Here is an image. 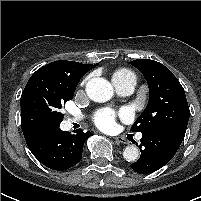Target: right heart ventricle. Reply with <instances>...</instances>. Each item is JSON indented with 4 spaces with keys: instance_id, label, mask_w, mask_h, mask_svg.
Returning <instances> with one entry per match:
<instances>
[{
    "instance_id": "e07e8e85",
    "label": "right heart ventricle",
    "mask_w": 201,
    "mask_h": 201,
    "mask_svg": "<svg viewBox=\"0 0 201 201\" xmlns=\"http://www.w3.org/2000/svg\"><path fill=\"white\" fill-rule=\"evenodd\" d=\"M130 78L136 79V75L128 68H118L112 74L113 83H120Z\"/></svg>"
}]
</instances>
